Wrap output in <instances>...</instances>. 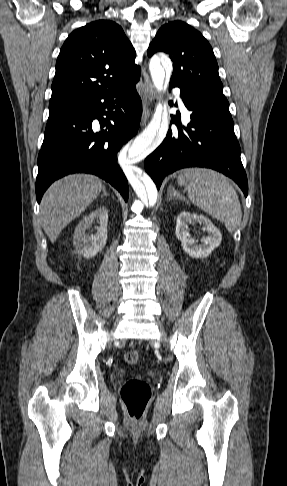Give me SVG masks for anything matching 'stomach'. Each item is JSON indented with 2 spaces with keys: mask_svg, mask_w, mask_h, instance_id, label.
Wrapping results in <instances>:
<instances>
[{
  "mask_svg": "<svg viewBox=\"0 0 287 486\" xmlns=\"http://www.w3.org/2000/svg\"><path fill=\"white\" fill-rule=\"evenodd\" d=\"M178 184H179L180 186H184V185H186V180H185V178H184V176H183V175H179V176H178Z\"/></svg>",
  "mask_w": 287,
  "mask_h": 486,
  "instance_id": "1",
  "label": "stomach"
}]
</instances>
